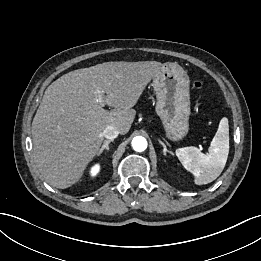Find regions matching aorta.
<instances>
[{
  "label": "aorta",
  "instance_id": "obj_1",
  "mask_svg": "<svg viewBox=\"0 0 261 261\" xmlns=\"http://www.w3.org/2000/svg\"><path fill=\"white\" fill-rule=\"evenodd\" d=\"M132 147L137 152H143L147 148V140L142 136H136L132 140Z\"/></svg>",
  "mask_w": 261,
  "mask_h": 261
}]
</instances>
